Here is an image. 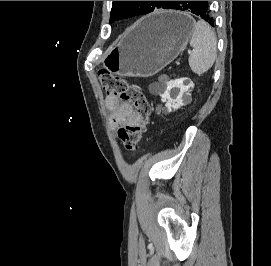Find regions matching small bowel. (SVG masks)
Returning <instances> with one entry per match:
<instances>
[{
	"instance_id": "small-bowel-1",
	"label": "small bowel",
	"mask_w": 271,
	"mask_h": 266,
	"mask_svg": "<svg viewBox=\"0 0 271 266\" xmlns=\"http://www.w3.org/2000/svg\"><path fill=\"white\" fill-rule=\"evenodd\" d=\"M105 103L111 112L110 124L113 128L135 125L139 122V116L130 103L123 102L113 95H108Z\"/></svg>"
}]
</instances>
